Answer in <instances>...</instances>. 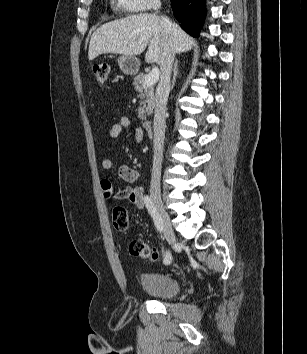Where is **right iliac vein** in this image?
<instances>
[{
	"label": "right iliac vein",
	"mask_w": 307,
	"mask_h": 354,
	"mask_svg": "<svg viewBox=\"0 0 307 354\" xmlns=\"http://www.w3.org/2000/svg\"><path fill=\"white\" fill-rule=\"evenodd\" d=\"M153 202L158 209V212H159V215H160V218L162 221V226H163L162 230H163L164 237L169 244H172V243H174L176 237H175L174 231L172 229L169 215H168L167 211L165 210V207L163 205L161 198L158 195H153Z\"/></svg>",
	"instance_id": "1"
}]
</instances>
